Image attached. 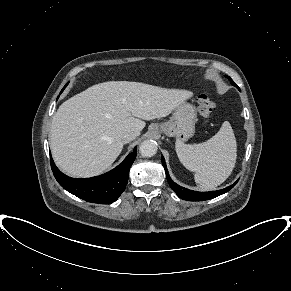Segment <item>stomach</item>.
I'll use <instances>...</instances> for the list:
<instances>
[{
  "label": "stomach",
  "instance_id": "obj_1",
  "mask_svg": "<svg viewBox=\"0 0 291 291\" xmlns=\"http://www.w3.org/2000/svg\"><path fill=\"white\" fill-rule=\"evenodd\" d=\"M196 121L195 107L183 102L174 110L172 117L167 122L159 125V129L169 137L174 136L180 141H185L193 136Z\"/></svg>",
  "mask_w": 291,
  "mask_h": 291
}]
</instances>
